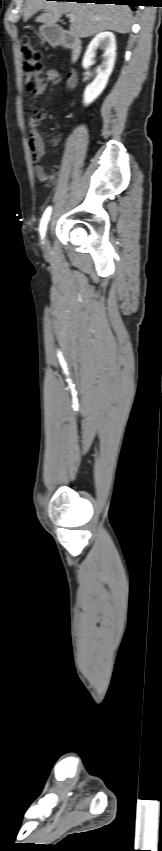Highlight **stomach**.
<instances>
[{
	"mask_svg": "<svg viewBox=\"0 0 162 851\" xmlns=\"http://www.w3.org/2000/svg\"><path fill=\"white\" fill-rule=\"evenodd\" d=\"M59 28L54 25L45 24L40 27V34L47 40H55L58 38Z\"/></svg>",
	"mask_w": 162,
	"mask_h": 851,
	"instance_id": "1",
	"label": "stomach"
}]
</instances>
